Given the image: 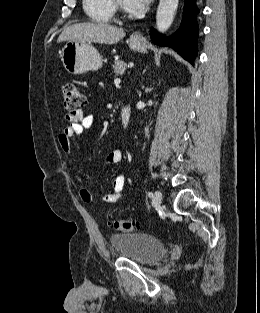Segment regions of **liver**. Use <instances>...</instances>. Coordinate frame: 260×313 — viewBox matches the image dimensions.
<instances>
[{"instance_id": "6515ba94", "label": "liver", "mask_w": 260, "mask_h": 313, "mask_svg": "<svg viewBox=\"0 0 260 313\" xmlns=\"http://www.w3.org/2000/svg\"><path fill=\"white\" fill-rule=\"evenodd\" d=\"M125 36L122 28L102 22L76 23L63 30L58 43L63 41L94 42L101 44H115Z\"/></svg>"}]
</instances>
